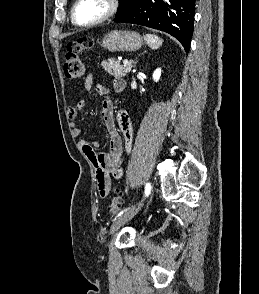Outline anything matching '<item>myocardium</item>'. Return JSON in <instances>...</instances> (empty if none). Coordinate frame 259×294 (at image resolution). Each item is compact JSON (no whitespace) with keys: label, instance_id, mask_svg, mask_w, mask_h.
<instances>
[{"label":"myocardium","instance_id":"myocardium-1","mask_svg":"<svg viewBox=\"0 0 259 294\" xmlns=\"http://www.w3.org/2000/svg\"><path fill=\"white\" fill-rule=\"evenodd\" d=\"M81 0H75L72 8H71V21L73 24H75L78 27H82V28H90V27H94L96 25L102 24L106 21H108L109 19H111L112 17H114L119 9H120V0H108V9L106 11V13L104 15H102L99 19L93 21V22H89V23H80L77 20L76 17V11H77V7L80 4Z\"/></svg>","mask_w":259,"mask_h":294}]
</instances>
